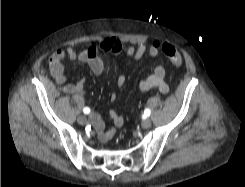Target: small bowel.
I'll return each instance as SVG.
<instances>
[{"instance_id":"obj_1","label":"small bowel","mask_w":245,"mask_h":187,"mask_svg":"<svg viewBox=\"0 0 245 187\" xmlns=\"http://www.w3.org/2000/svg\"><path fill=\"white\" fill-rule=\"evenodd\" d=\"M164 43L154 41L150 45L145 43L139 44L137 47H128L126 54L132 60H139L144 55L156 56L162 52L161 46ZM169 44V43H168ZM123 47L121 43L114 37H106L101 41L99 45H91L87 48L76 50L73 47H66L65 49L55 50L48 59V66L50 73L58 85L60 92L69 95L83 96L85 93L86 79L81 78L75 83H67V77L65 75L64 62L66 60L79 61L86 63L93 74L99 76L104 72V63L100 58V52L120 53ZM165 68L161 65L155 66L151 74L141 80L139 83V90L141 92H147L151 90H157L162 94L169 93V85L165 81ZM126 83V77L120 75L117 78L118 87H123ZM111 100L116 99V94L110 95ZM109 115L113 121L114 127L106 129L105 124L98 114H93L90 121L98 133V138L101 142H106L115 133V128L123 125L124 119L116 111L111 110Z\"/></svg>"}]
</instances>
